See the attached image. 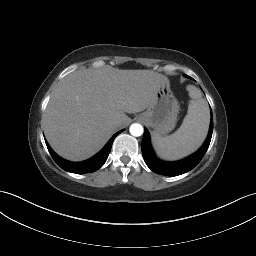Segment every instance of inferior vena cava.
<instances>
[{"label": "inferior vena cava", "mask_w": 256, "mask_h": 256, "mask_svg": "<svg viewBox=\"0 0 256 256\" xmlns=\"http://www.w3.org/2000/svg\"><path fill=\"white\" fill-rule=\"evenodd\" d=\"M111 126L115 129V130H120L122 128V123L118 120V119H113L111 121Z\"/></svg>", "instance_id": "inferior-vena-cava-1"}]
</instances>
